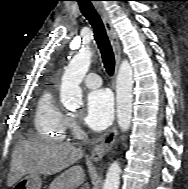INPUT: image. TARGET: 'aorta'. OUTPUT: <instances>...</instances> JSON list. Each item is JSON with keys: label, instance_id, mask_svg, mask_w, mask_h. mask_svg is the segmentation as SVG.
<instances>
[{"label": "aorta", "instance_id": "aorta-1", "mask_svg": "<svg viewBox=\"0 0 188 189\" xmlns=\"http://www.w3.org/2000/svg\"><path fill=\"white\" fill-rule=\"evenodd\" d=\"M92 53L88 49H81L66 68L60 86V98L63 106L68 110H75L82 104V90L80 84L85 77ZM133 69L127 60H123L116 80L117 120L122 131H127L132 118V88ZM120 164L114 161L108 168L103 189H119Z\"/></svg>", "mask_w": 188, "mask_h": 189}]
</instances>
